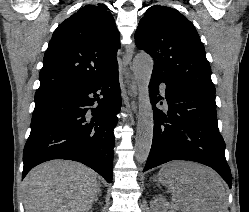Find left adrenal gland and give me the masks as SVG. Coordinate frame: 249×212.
<instances>
[{
  "mask_svg": "<svg viewBox=\"0 0 249 212\" xmlns=\"http://www.w3.org/2000/svg\"><path fill=\"white\" fill-rule=\"evenodd\" d=\"M156 184H157V186H158V188H159V184H158V182H156Z\"/></svg>",
  "mask_w": 249,
  "mask_h": 212,
  "instance_id": "a2214340",
  "label": "left adrenal gland"
}]
</instances>
